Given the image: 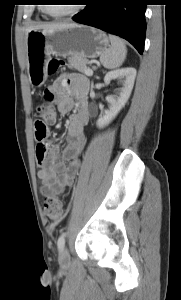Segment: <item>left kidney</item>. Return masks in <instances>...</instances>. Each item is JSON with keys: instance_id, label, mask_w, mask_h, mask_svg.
I'll return each instance as SVG.
<instances>
[{"instance_id": "left-kidney-1", "label": "left kidney", "mask_w": 181, "mask_h": 300, "mask_svg": "<svg viewBox=\"0 0 181 300\" xmlns=\"http://www.w3.org/2000/svg\"><path fill=\"white\" fill-rule=\"evenodd\" d=\"M135 77L136 69L132 67L110 71L105 75V84L108 85L112 80H118L122 87L118 89L117 95L107 96L109 108L99 116L96 122L97 127L103 128L108 125L124 107L133 89Z\"/></svg>"}]
</instances>
